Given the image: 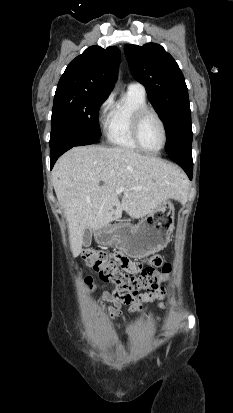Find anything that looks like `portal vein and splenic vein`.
I'll return each instance as SVG.
<instances>
[{
  "label": "portal vein and splenic vein",
  "instance_id": "1",
  "mask_svg": "<svg viewBox=\"0 0 233 413\" xmlns=\"http://www.w3.org/2000/svg\"><path fill=\"white\" fill-rule=\"evenodd\" d=\"M125 190V187L124 186H120L117 190H116V192L117 193H121V192H123Z\"/></svg>",
  "mask_w": 233,
  "mask_h": 413
}]
</instances>
